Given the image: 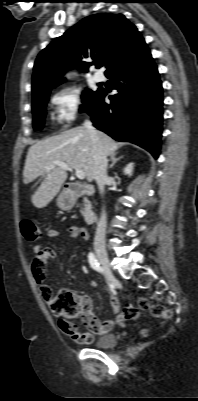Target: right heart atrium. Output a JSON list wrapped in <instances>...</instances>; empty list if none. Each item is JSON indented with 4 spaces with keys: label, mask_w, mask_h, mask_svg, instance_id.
Returning <instances> with one entry per match:
<instances>
[{
    "label": "right heart atrium",
    "mask_w": 198,
    "mask_h": 401,
    "mask_svg": "<svg viewBox=\"0 0 198 401\" xmlns=\"http://www.w3.org/2000/svg\"><path fill=\"white\" fill-rule=\"evenodd\" d=\"M51 103L56 121L60 125H70L80 113L83 106L81 93L74 88H62L53 93Z\"/></svg>",
    "instance_id": "obj_1"
}]
</instances>
